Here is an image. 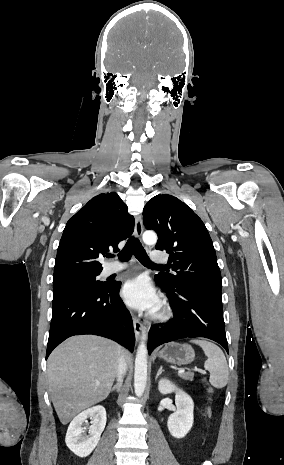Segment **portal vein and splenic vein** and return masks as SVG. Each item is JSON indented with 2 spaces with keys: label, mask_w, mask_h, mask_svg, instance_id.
<instances>
[{
  "label": "portal vein and splenic vein",
  "mask_w": 284,
  "mask_h": 465,
  "mask_svg": "<svg viewBox=\"0 0 284 465\" xmlns=\"http://www.w3.org/2000/svg\"><path fill=\"white\" fill-rule=\"evenodd\" d=\"M196 371H199V373H203V375H206V371H201V369H196ZM178 373H185L184 369H181V371H178Z\"/></svg>",
  "instance_id": "1"
}]
</instances>
